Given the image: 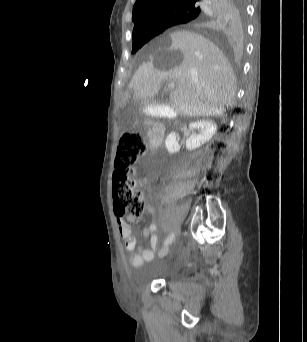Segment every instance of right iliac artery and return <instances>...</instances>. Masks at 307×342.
I'll return each mask as SVG.
<instances>
[{"instance_id":"obj_1","label":"right iliac artery","mask_w":307,"mask_h":342,"mask_svg":"<svg viewBox=\"0 0 307 342\" xmlns=\"http://www.w3.org/2000/svg\"><path fill=\"white\" fill-rule=\"evenodd\" d=\"M173 239H174V233H171V234L167 237V239L165 240L164 245L166 246V245L170 244V243L173 241Z\"/></svg>"}]
</instances>
